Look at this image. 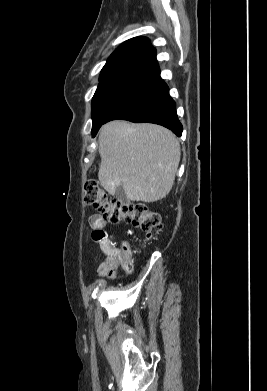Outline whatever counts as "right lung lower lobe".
Instances as JSON below:
<instances>
[{"instance_id":"obj_1","label":"right lung lower lobe","mask_w":267,"mask_h":391,"mask_svg":"<svg viewBox=\"0 0 267 391\" xmlns=\"http://www.w3.org/2000/svg\"><path fill=\"white\" fill-rule=\"evenodd\" d=\"M168 90L167 84L157 75L118 106L103 124L114 119L155 123L181 136L182 124L177 117L175 101L170 97Z\"/></svg>"}]
</instances>
